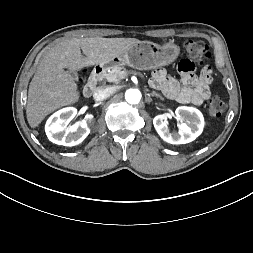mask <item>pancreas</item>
Returning <instances> with one entry per match:
<instances>
[{
  "label": "pancreas",
  "instance_id": "pancreas-1",
  "mask_svg": "<svg viewBox=\"0 0 253 253\" xmlns=\"http://www.w3.org/2000/svg\"><path fill=\"white\" fill-rule=\"evenodd\" d=\"M127 70L124 67L114 65L109 68V71L104 73V78L108 82L118 83L127 76Z\"/></svg>",
  "mask_w": 253,
  "mask_h": 253
}]
</instances>
